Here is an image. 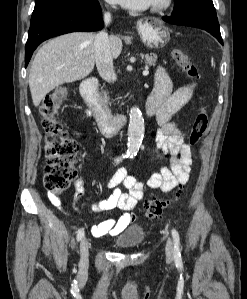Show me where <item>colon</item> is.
<instances>
[{
  "label": "colon",
  "instance_id": "5ec220e1",
  "mask_svg": "<svg viewBox=\"0 0 247 299\" xmlns=\"http://www.w3.org/2000/svg\"><path fill=\"white\" fill-rule=\"evenodd\" d=\"M171 56L179 69L189 78H197L198 71L191 62L188 54L182 50H173ZM65 89L48 96L41 107L42 129L45 134L44 185L55 196L61 195L77 176L74 166L78 152L77 142L70 138L57 119L60 105L65 100ZM208 126V114L202 108L196 115L190 134L189 143L196 145L205 134ZM182 191L178 190L172 199H149L146 203V215L151 220L160 218L165 208L181 197Z\"/></svg>",
  "mask_w": 247,
  "mask_h": 299
}]
</instances>
